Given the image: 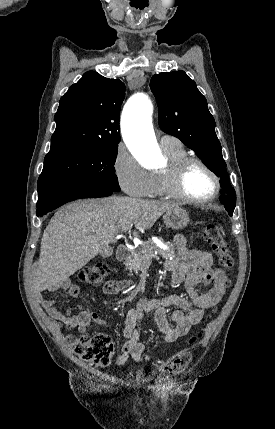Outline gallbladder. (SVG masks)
I'll use <instances>...</instances> for the list:
<instances>
[{
    "label": "gallbladder",
    "mask_w": 275,
    "mask_h": 429,
    "mask_svg": "<svg viewBox=\"0 0 275 429\" xmlns=\"http://www.w3.org/2000/svg\"><path fill=\"white\" fill-rule=\"evenodd\" d=\"M112 254H113V248H112V247H105V248L101 251L100 256H101L102 258H108V257H110Z\"/></svg>",
    "instance_id": "bac80fb5"
}]
</instances>
